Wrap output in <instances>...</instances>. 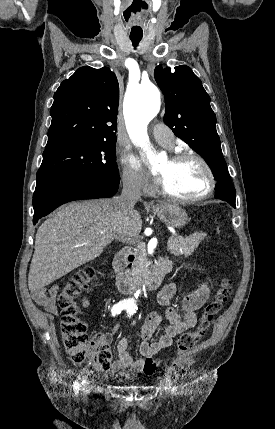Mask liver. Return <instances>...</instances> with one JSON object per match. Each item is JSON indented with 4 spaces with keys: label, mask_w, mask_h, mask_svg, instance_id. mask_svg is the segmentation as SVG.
Returning a JSON list of instances; mask_svg holds the SVG:
<instances>
[{
    "label": "liver",
    "mask_w": 275,
    "mask_h": 429,
    "mask_svg": "<svg viewBox=\"0 0 275 429\" xmlns=\"http://www.w3.org/2000/svg\"><path fill=\"white\" fill-rule=\"evenodd\" d=\"M142 219L136 210L123 212L116 197L65 205L38 228L28 286L32 292L100 256L114 238L137 236Z\"/></svg>",
    "instance_id": "1"
}]
</instances>
